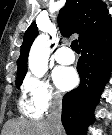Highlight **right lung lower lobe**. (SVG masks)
<instances>
[{"mask_svg":"<svg viewBox=\"0 0 112 135\" xmlns=\"http://www.w3.org/2000/svg\"><path fill=\"white\" fill-rule=\"evenodd\" d=\"M80 85L62 100V124L68 135H85L112 69V29L80 45Z\"/></svg>","mask_w":112,"mask_h":135,"instance_id":"obj_1","label":"right lung lower lobe"}]
</instances>
